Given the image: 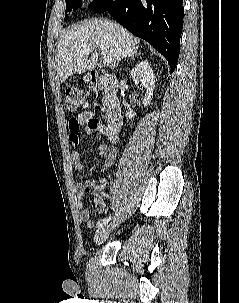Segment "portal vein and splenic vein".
I'll return each instance as SVG.
<instances>
[{
	"mask_svg": "<svg viewBox=\"0 0 239 303\" xmlns=\"http://www.w3.org/2000/svg\"><path fill=\"white\" fill-rule=\"evenodd\" d=\"M90 51H91L90 49H87V50L83 51V54H88V53H90ZM111 62H112V59L110 57L104 55L103 63L106 65H109V64H111Z\"/></svg>",
	"mask_w": 239,
	"mask_h": 303,
	"instance_id": "18ae733b",
	"label": "portal vein and splenic vein"
}]
</instances>
